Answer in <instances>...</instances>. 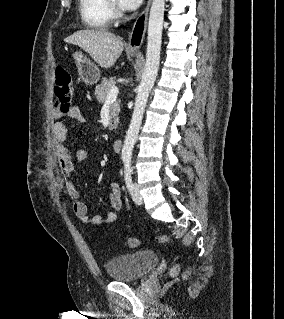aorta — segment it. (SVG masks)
<instances>
[{
	"label": "aorta",
	"instance_id": "762f6f07",
	"mask_svg": "<svg viewBox=\"0 0 284 319\" xmlns=\"http://www.w3.org/2000/svg\"><path fill=\"white\" fill-rule=\"evenodd\" d=\"M164 11L165 0H152L148 23L146 61L142 80L138 86L132 119L122 148L121 157L123 160L131 159L133 147L141 127L146 103L158 74Z\"/></svg>",
	"mask_w": 284,
	"mask_h": 319
}]
</instances>
